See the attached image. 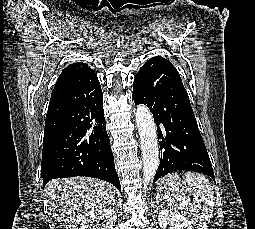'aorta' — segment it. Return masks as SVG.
<instances>
[{
	"label": "aorta",
	"mask_w": 255,
	"mask_h": 229,
	"mask_svg": "<svg viewBox=\"0 0 255 229\" xmlns=\"http://www.w3.org/2000/svg\"><path fill=\"white\" fill-rule=\"evenodd\" d=\"M136 124L140 136L143 160V180L145 192L151 184L159 165V147L156 126L150 110L145 105H138Z\"/></svg>",
	"instance_id": "762f6f07"
}]
</instances>
